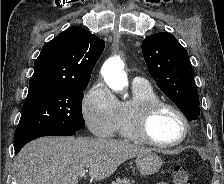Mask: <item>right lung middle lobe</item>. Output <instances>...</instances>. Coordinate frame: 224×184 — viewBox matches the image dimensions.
Wrapping results in <instances>:
<instances>
[{
	"label": "right lung middle lobe",
	"mask_w": 224,
	"mask_h": 184,
	"mask_svg": "<svg viewBox=\"0 0 224 184\" xmlns=\"http://www.w3.org/2000/svg\"><path fill=\"white\" fill-rule=\"evenodd\" d=\"M87 85L30 87L15 131L14 144L38 132L82 129L85 126L82 115L83 91Z\"/></svg>",
	"instance_id": "1"
}]
</instances>
